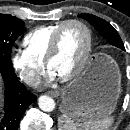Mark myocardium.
Listing matches in <instances>:
<instances>
[{"instance_id": "1", "label": "myocardium", "mask_w": 130, "mask_h": 130, "mask_svg": "<svg viewBox=\"0 0 130 130\" xmlns=\"http://www.w3.org/2000/svg\"><path fill=\"white\" fill-rule=\"evenodd\" d=\"M69 25H78L85 31V33L87 35V45H86V50L84 52V55H83L80 63L78 64V66L69 75L60 78V80L63 82L72 81L83 72V70L85 69V67L90 59L91 52H92V46H93L92 31L87 24H85L84 22H82L80 20H76V19L67 20V21L63 22L61 24V26L57 29V31L54 33L50 46H49V49H48V52H47V55H46V58L44 60V64L48 70H49L50 62L55 58V56L58 53L59 43H60V38H61L62 32Z\"/></svg>"}]
</instances>
